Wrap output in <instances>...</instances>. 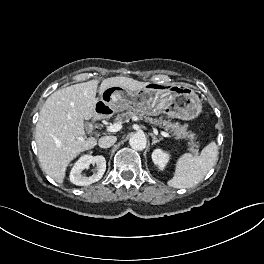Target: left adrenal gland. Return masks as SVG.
I'll list each match as a JSON object with an SVG mask.
<instances>
[{
	"mask_svg": "<svg viewBox=\"0 0 264 264\" xmlns=\"http://www.w3.org/2000/svg\"><path fill=\"white\" fill-rule=\"evenodd\" d=\"M151 135V137H152V145H154V144H156V143H158V142H160L161 140H162V138H160V139H158L154 134H150Z\"/></svg>",
	"mask_w": 264,
	"mask_h": 264,
	"instance_id": "obj_1",
	"label": "left adrenal gland"
}]
</instances>
